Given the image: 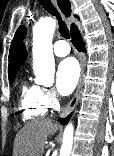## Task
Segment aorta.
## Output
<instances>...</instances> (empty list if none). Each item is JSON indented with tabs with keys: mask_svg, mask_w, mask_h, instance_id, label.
<instances>
[{
	"mask_svg": "<svg viewBox=\"0 0 114 156\" xmlns=\"http://www.w3.org/2000/svg\"><path fill=\"white\" fill-rule=\"evenodd\" d=\"M56 22L52 18H45L37 23L33 29V70L36 83L49 86L53 84L55 63L52 49V39ZM74 127L69 123L63 133L60 156H70L73 144Z\"/></svg>",
	"mask_w": 114,
	"mask_h": 156,
	"instance_id": "aorta-1",
	"label": "aorta"
}]
</instances>
